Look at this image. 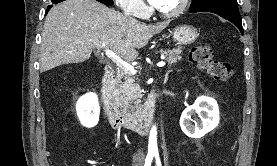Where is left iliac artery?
Masks as SVG:
<instances>
[{"instance_id":"44dca946","label":"left iliac artery","mask_w":277,"mask_h":166,"mask_svg":"<svg viewBox=\"0 0 277 166\" xmlns=\"http://www.w3.org/2000/svg\"><path fill=\"white\" fill-rule=\"evenodd\" d=\"M155 159H156V166H161V161L158 153L155 154Z\"/></svg>"}]
</instances>
